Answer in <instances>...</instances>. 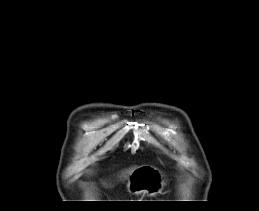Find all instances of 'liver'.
<instances>
[{
	"mask_svg": "<svg viewBox=\"0 0 259 211\" xmlns=\"http://www.w3.org/2000/svg\"><path fill=\"white\" fill-rule=\"evenodd\" d=\"M136 169L134 168H130L128 170H126L125 172L122 173V175L120 176L122 179H128L129 175L133 172V170Z\"/></svg>",
	"mask_w": 259,
	"mask_h": 211,
	"instance_id": "obj_1",
	"label": "liver"
}]
</instances>
